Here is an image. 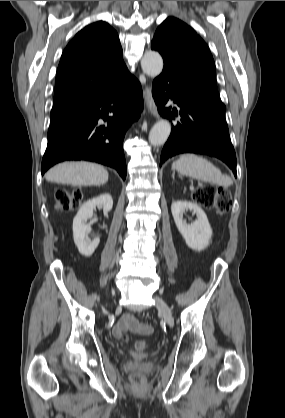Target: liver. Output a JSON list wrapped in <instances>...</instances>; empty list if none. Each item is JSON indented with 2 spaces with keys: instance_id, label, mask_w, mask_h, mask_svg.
Here are the masks:
<instances>
[{
  "instance_id": "1",
  "label": "liver",
  "mask_w": 285,
  "mask_h": 418,
  "mask_svg": "<svg viewBox=\"0 0 285 418\" xmlns=\"http://www.w3.org/2000/svg\"><path fill=\"white\" fill-rule=\"evenodd\" d=\"M49 182L72 186H100L107 183L108 171L90 162H64L51 168L45 175Z\"/></svg>"
}]
</instances>
